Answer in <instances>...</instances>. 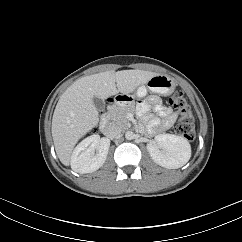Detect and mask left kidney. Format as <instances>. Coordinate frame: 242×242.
I'll return each instance as SVG.
<instances>
[{
    "label": "left kidney",
    "instance_id": "1",
    "mask_svg": "<svg viewBox=\"0 0 242 242\" xmlns=\"http://www.w3.org/2000/svg\"><path fill=\"white\" fill-rule=\"evenodd\" d=\"M152 160L165 168L177 169L184 166L191 157L189 142L174 134H160L155 142L147 145Z\"/></svg>",
    "mask_w": 242,
    "mask_h": 242
}]
</instances>
